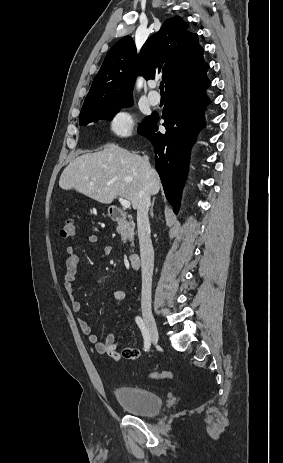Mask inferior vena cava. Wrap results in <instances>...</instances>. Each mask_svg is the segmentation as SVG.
<instances>
[{"label": "inferior vena cava", "mask_w": 283, "mask_h": 463, "mask_svg": "<svg viewBox=\"0 0 283 463\" xmlns=\"http://www.w3.org/2000/svg\"><path fill=\"white\" fill-rule=\"evenodd\" d=\"M148 162V157H144ZM150 206V192L148 188L141 190L137 207V228L140 244L142 292L141 308L151 311L152 275L154 267V250L150 238V223L148 211Z\"/></svg>", "instance_id": "602c4592"}]
</instances>
